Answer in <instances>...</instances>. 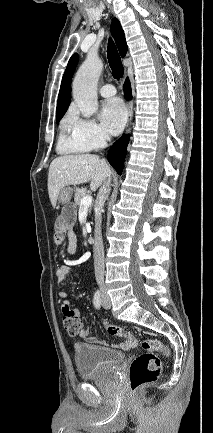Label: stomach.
Listing matches in <instances>:
<instances>
[{
  "instance_id": "0dacf381",
  "label": "stomach",
  "mask_w": 213,
  "mask_h": 433,
  "mask_svg": "<svg viewBox=\"0 0 213 433\" xmlns=\"http://www.w3.org/2000/svg\"><path fill=\"white\" fill-rule=\"evenodd\" d=\"M73 190L71 187H64L58 195V201L62 205H69L72 197Z\"/></svg>"
}]
</instances>
